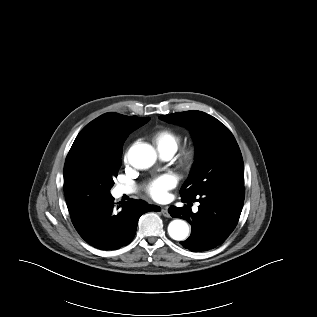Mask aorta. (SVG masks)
Here are the masks:
<instances>
[{
	"label": "aorta",
	"instance_id": "762f6f07",
	"mask_svg": "<svg viewBox=\"0 0 317 317\" xmlns=\"http://www.w3.org/2000/svg\"><path fill=\"white\" fill-rule=\"evenodd\" d=\"M156 159V151L148 144L132 146L128 152L129 163L136 169H148ZM168 233L172 239L183 241L189 235V226L184 220L175 219L169 223Z\"/></svg>",
	"mask_w": 317,
	"mask_h": 317
}]
</instances>
